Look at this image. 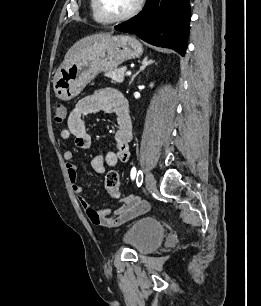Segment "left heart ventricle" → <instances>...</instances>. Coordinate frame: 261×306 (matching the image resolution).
Returning <instances> with one entry per match:
<instances>
[{
	"instance_id": "b2bd125f",
	"label": "left heart ventricle",
	"mask_w": 261,
	"mask_h": 306,
	"mask_svg": "<svg viewBox=\"0 0 261 306\" xmlns=\"http://www.w3.org/2000/svg\"><path fill=\"white\" fill-rule=\"evenodd\" d=\"M106 9L113 15H122L130 11L137 0H103Z\"/></svg>"
}]
</instances>
